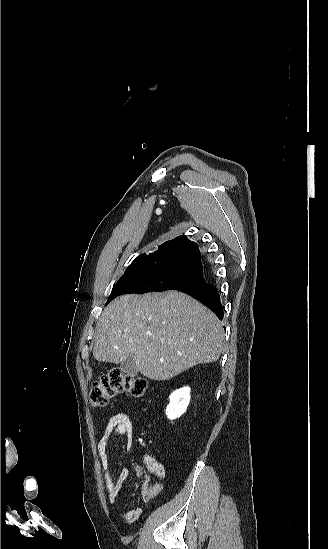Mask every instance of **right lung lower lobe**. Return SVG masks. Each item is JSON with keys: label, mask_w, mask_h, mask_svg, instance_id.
Masks as SVG:
<instances>
[{"label": "right lung lower lobe", "mask_w": 328, "mask_h": 549, "mask_svg": "<svg viewBox=\"0 0 328 549\" xmlns=\"http://www.w3.org/2000/svg\"><path fill=\"white\" fill-rule=\"evenodd\" d=\"M182 292H185L192 297L198 299L205 306L210 308L219 319H223L224 312L222 304L220 302L218 290L214 285L206 284L204 286L196 287L194 289H189Z\"/></svg>", "instance_id": "1"}]
</instances>
